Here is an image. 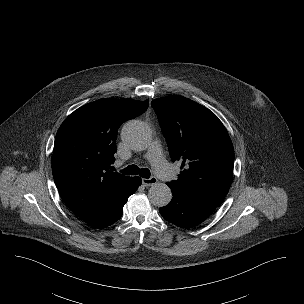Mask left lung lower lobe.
Segmentation results:
<instances>
[{
  "label": "left lung lower lobe",
  "mask_w": 304,
  "mask_h": 304,
  "mask_svg": "<svg viewBox=\"0 0 304 304\" xmlns=\"http://www.w3.org/2000/svg\"><path fill=\"white\" fill-rule=\"evenodd\" d=\"M170 188L173 194L172 201L167 206L161 207L159 211L165 220L176 226L183 228L197 226L217 207Z\"/></svg>",
  "instance_id": "0a47b994"
}]
</instances>
